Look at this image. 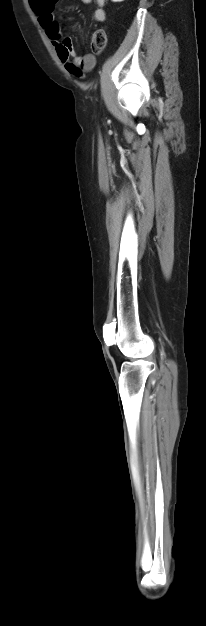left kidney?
Returning a JSON list of instances; mask_svg holds the SVG:
<instances>
[{
  "instance_id": "left-kidney-1",
  "label": "left kidney",
  "mask_w": 206,
  "mask_h": 626,
  "mask_svg": "<svg viewBox=\"0 0 206 626\" xmlns=\"http://www.w3.org/2000/svg\"><path fill=\"white\" fill-rule=\"evenodd\" d=\"M112 2H122L124 0H111Z\"/></svg>"
}]
</instances>
